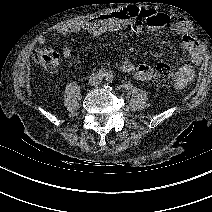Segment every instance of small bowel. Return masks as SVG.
Returning a JSON list of instances; mask_svg holds the SVG:
<instances>
[{"label": "small bowel", "mask_w": 212, "mask_h": 212, "mask_svg": "<svg viewBox=\"0 0 212 212\" xmlns=\"http://www.w3.org/2000/svg\"><path fill=\"white\" fill-rule=\"evenodd\" d=\"M144 22L156 29H162L169 26L171 34L179 36L180 47L190 56L192 62L198 63L201 60L198 42L193 37L186 34L188 23L185 19L177 18L172 20L165 13L158 12L152 8L141 9L136 5H128L110 12H104L96 18L57 25L51 31V36L76 34L81 31L90 35L100 36L107 32L121 31L130 23L136 31H140L143 29ZM47 40L48 38L46 36H40L38 38V44L45 46ZM62 55L65 59L73 63L84 62L82 57L76 56L73 53L71 47L67 43L63 44ZM119 69L143 81L150 80L153 75L152 68L144 63L124 61L120 64ZM194 75L195 71L192 63H181L176 73L175 86L177 88L184 87L194 79Z\"/></svg>", "instance_id": "small-bowel-1"}]
</instances>
